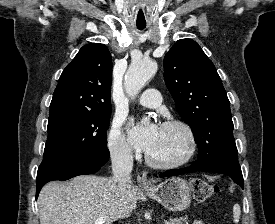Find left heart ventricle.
I'll list each match as a JSON object with an SVG mask.
<instances>
[{
  "label": "left heart ventricle",
  "mask_w": 275,
  "mask_h": 224,
  "mask_svg": "<svg viewBox=\"0 0 275 224\" xmlns=\"http://www.w3.org/2000/svg\"><path fill=\"white\" fill-rule=\"evenodd\" d=\"M187 147V138L181 129L161 127L158 139L148 155L156 161H175L185 154Z\"/></svg>",
  "instance_id": "left-heart-ventricle-1"
}]
</instances>
